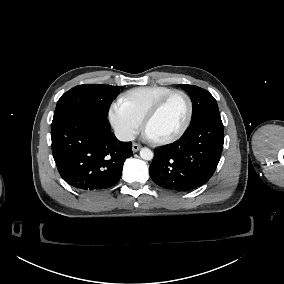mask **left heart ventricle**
I'll list each match as a JSON object with an SVG mask.
<instances>
[{
    "mask_svg": "<svg viewBox=\"0 0 284 284\" xmlns=\"http://www.w3.org/2000/svg\"><path fill=\"white\" fill-rule=\"evenodd\" d=\"M188 103L182 94L174 95L161 112L149 123L146 133L152 139L162 140L174 135L183 125Z\"/></svg>",
    "mask_w": 284,
    "mask_h": 284,
    "instance_id": "left-heart-ventricle-1",
    "label": "left heart ventricle"
}]
</instances>
